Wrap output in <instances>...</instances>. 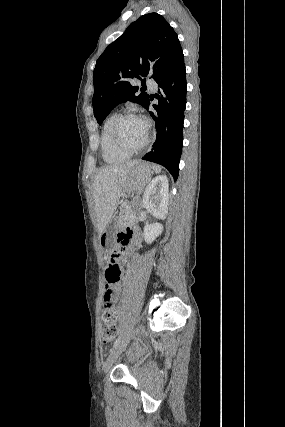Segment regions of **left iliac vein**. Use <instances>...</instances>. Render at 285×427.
Instances as JSON below:
<instances>
[{
  "instance_id": "left-iliac-vein-1",
  "label": "left iliac vein",
  "mask_w": 285,
  "mask_h": 427,
  "mask_svg": "<svg viewBox=\"0 0 285 427\" xmlns=\"http://www.w3.org/2000/svg\"><path fill=\"white\" fill-rule=\"evenodd\" d=\"M128 342H129V338L119 343L116 347H114L110 351L103 366V370L105 374L110 370V368L112 367L113 363L117 360L119 355L125 350Z\"/></svg>"
}]
</instances>
